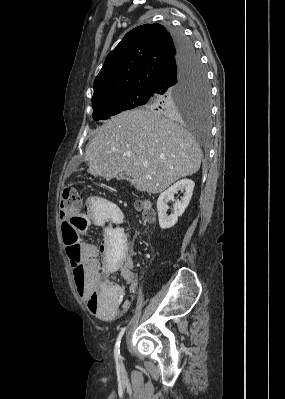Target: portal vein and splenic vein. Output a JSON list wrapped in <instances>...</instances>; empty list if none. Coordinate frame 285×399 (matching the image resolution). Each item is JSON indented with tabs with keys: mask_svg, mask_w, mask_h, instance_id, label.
<instances>
[{
	"mask_svg": "<svg viewBox=\"0 0 285 399\" xmlns=\"http://www.w3.org/2000/svg\"><path fill=\"white\" fill-rule=\"evenodd\" d=\"M149 166L148 163H143V167L147 168Z\"/></svg>",
	"mask_w": 285,
	"mask_h": 399,
	"instance_id": "1",
	"label": "portal vein and splenic vein"
}]
</instances>
